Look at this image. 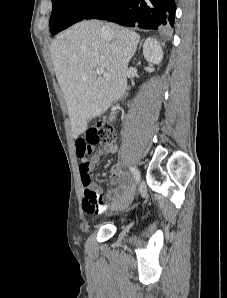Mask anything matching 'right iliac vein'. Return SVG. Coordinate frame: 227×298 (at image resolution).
Masks as SVG:
<instances>
[{"label":"right iliac vein","mask_w":227,"mask_h":298,"mask_svg":"<svg viewBox=\"0 0 227 298\" xmlns=\"http://www.w3.org/2000/svg\"><path fill=\"white\" fill-rule=\"evenodd\" d=\"M132 200H133V193H131L125 199L113 203L112 206H111V209L116 210V211L123 210L131 204Z\"/></svg>","instance_id":"right-iliac-vein-1"}]
</instances>
